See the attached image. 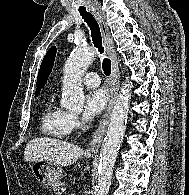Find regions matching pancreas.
Segmentation results:
<instances>
[{
  "mask_svg": "<svg viewBox=\"0 0 189 195\" xmlns=\"http://www.w3.org/2000/svg\"><path fill=\"white\" fill-rule=\"evenodd\" d=\"M65 187V183L64 182H57L53 185V190L56 193V195H61V189Z\"/></svg>",
  "mask_w": 189,
  "mask_h": 195,
  "instance_id": "pancreas-1",
  "label": "pancreas"
}]
</instances>
